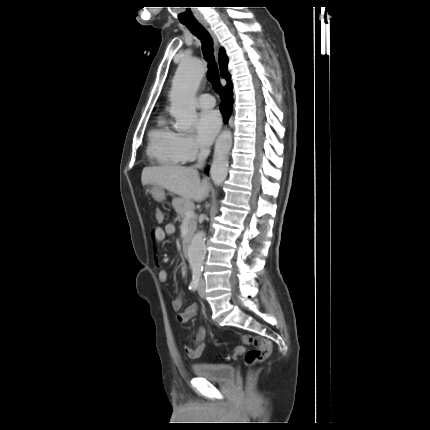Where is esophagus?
Returning a JSON list of instances; mask_svg holds the SVG:
<instances>
[{"label":"esophagus","mask_w":430,"mask_h":430,"mask_svg":"<svg viewBox=\"0 0 430 430\" xmlns=\"http://www.w3.org/2000/svg\"><path fill=\"white\" fill-rule=\"evenodd\" d=\"M201 24L205 27V29L209 32V34L211 35L212 39H213V43H214V49H215V55H218V51H219V42L217 39L216 34L214 33V31L212 30V28L210 27V25L207 22H201Z\"/></svg>","instance_id":"obj_1"}]
</instances>
